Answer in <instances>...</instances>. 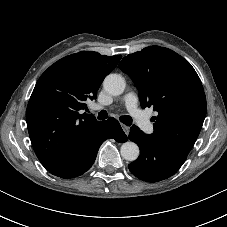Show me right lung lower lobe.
Wrapping results in <instances>:
<instances>
[{"label":"right lung lower lobe","mask_w":227,"mask_h":227,"mask_svg":"<svg viewBox=\"0 0 227 227\" xmlns=\"http://www.w3.org/2000/svg\"><path fill=\"white\" fill-rule=\"evenodd\" d=\"M115 134L125 135L116 119L110 117L106 121H101L85 140L78 144L60 163L48 169V171L64 179L82 175L93 165L101 144L107 138L115 139Z\"/></svg>","instance_id":"right-lung-lower-lobe-1"}]
</instances>
